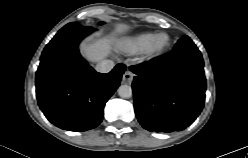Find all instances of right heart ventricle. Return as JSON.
Here are the masks:
<instances>
[{
  "mask_svg": "<svg viewBox=\"0 0 248 158\" xmlns=\"http://www.w3.org/2000/svg\"><path fill=\"white\" fill-rule=\"evenodd\" d=\"M154 33H140L122 42L121 49L128 54L142 53L149 45Z\"/></svg>",
  "mask_w": 248,
  "mask_h": 158,
  "instance_id": "right-heart-ventricle-1",
  "label": "right heart ventricle"
}]
</instances>
